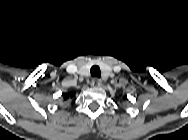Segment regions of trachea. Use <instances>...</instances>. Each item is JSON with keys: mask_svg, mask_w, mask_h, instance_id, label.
<instances>
[{"mask_svg": "<svg viewBox=\"0 0 188 140\" xmlns=\"http://www.w3.org/2000/svg\"><path fill=\"white\" fill-rule=\"evenodd\" d=\"M90 73H91L92 77H98V78H100V76H101L100 68L97 65H94V66L91 67Z\"/></svg>", "mask_w": 188, "mask_h": 140, "instance_id": "obj_1", "label": "trachea"}]
</instances>
